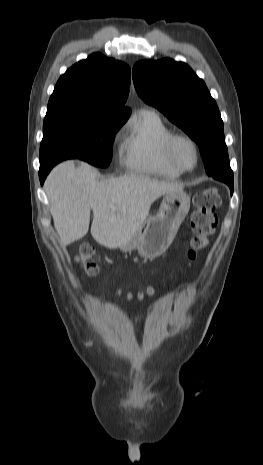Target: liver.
Here are the masks:
<instances>
[{"mask_svg": "<svg viewBox=\"0 0 263 465\" xmlns=\"http://www.w3.org/2000/svg\"><path fill=\"white\" fill-rule=\"evenodd\" d=\"M97 170L73 161L57 165L45 181L50 212L60 243L68 245L83 238L89 229L100 245L110 249L126 244L149 215L154 201L183 185L143 175H124L97 181Z\"/></svg>", "mask_w": 263, "mask_h": 465, "instance_id": "liver-1", "label": "liver"}]
</instances>
